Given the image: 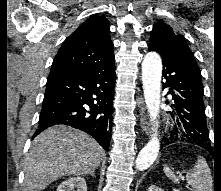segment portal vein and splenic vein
<instances>
[{
  "label": "portal vein and splenic vein",
  "mask_w": 221,
  "mask_h": 191,
  "mask_svg": "<svg viewBox=\"0 0 221 191\" xmlns=\"http://www.w3.org/2000/svg\"><path fill=\"white\" fill-rule=\"evenodd\" d=\"M186 188L190 190V187H189V186H186Z\"/></svg>",
  "instance_id": "1"
}]
</instances>
